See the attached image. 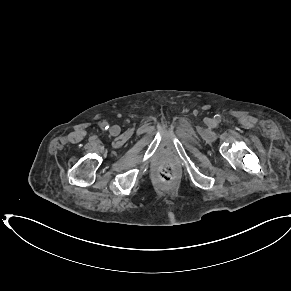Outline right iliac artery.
Wrapping results in <instances>:
<instances>
[{
  "label": "right iliac artery",
  "mask_w": 291,
  "mask_h": 291,
  "mask_svg": "<svg viewBox=\"0 0 291 291\" xmlns=\"http://www.w3.org/2000/svg\"><path fill=\"white\" fill-rule=\"evenodd\" d=\"M108 127H109V126H108V123H107V122H102V123H101V128H102V129H108Z\"/></svg>",
  "instance_id": "1"
}]
</instances>
